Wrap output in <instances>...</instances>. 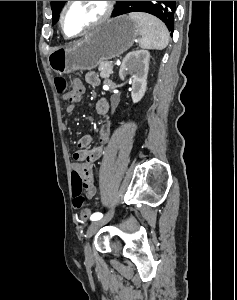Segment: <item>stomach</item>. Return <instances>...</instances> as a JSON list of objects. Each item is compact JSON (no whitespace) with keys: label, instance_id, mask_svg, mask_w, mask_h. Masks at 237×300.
Here are the masks:
<instances>
[{"label":"stomach","instance_id":"1","mask_svg":"<svg viewBox=\"0 0 237 300\" xmlns=\"http://www.w3.org/2000/svg\"><path fill=\"white\" fill-rule=\"evenodd\" d=\"M138 35V25L127 15L108 19L80 41H74L71 47L52 49L47 57L48 65L58 75H68L73 71H91L102 61L119 57L130 49Z\"/></svg>","mask_w":237,"mask_h":300}]
</instances>
